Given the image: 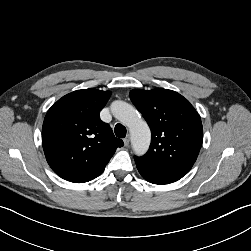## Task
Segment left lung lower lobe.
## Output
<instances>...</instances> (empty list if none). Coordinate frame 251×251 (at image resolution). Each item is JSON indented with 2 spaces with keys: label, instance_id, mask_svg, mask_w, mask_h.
Here are the masks:
<instances>
[{
  "label": "left lung lower lobe",
  "instance_id": "left-lung-lower-lobe-1",
  "mask_svg": "<svg viewBox=\"0 0 251 251\" xmlns=\"http://www.w3.org/2000/svg\"><path fill=\"white\" fill-rule=\"evenodd\" d=\"M136 166L143 178L153 184H169L181 179L186 174L172 170L155 169L139 163H136Z\"/></svg>",
  "mask_w": 251,
  "mask_h": 251
}]
</instances>
